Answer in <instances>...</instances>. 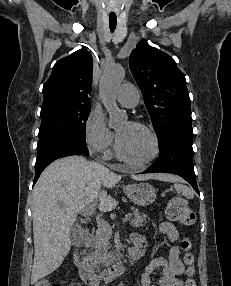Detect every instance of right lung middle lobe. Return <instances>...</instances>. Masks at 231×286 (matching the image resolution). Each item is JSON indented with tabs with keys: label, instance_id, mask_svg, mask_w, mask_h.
<instances>
[{
	"label": "right lung middle lobe",
	"instance_id": "1",
	"mask_svg": "<svg viewBox=\"0 0 231 286\" xmlns=\"http://www.w3.org/2000/svg\"><path fill=\"white\" fill-rule=\"evenodd\" d=\"M91 105L54 103L41 108L38 146L60 137L85 141L86 121Z\"/></svg>",
	"mask_w": 231,
	"mask_h": 286
}]
</instances>
